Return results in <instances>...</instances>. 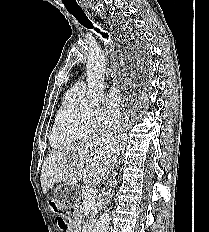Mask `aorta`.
I'll return each mask as SVG.
<instances>
[{"label":"aorta","instance_id":"1","mask_svg":"<svg viewBox=\"0 0 209 232\" xmlns=\"http://www.w3.org/2000/svg\"><path fill=\"white\" fill-rule=\"evenodd\" d=\"M104 72L105 59L100 50L90 52L86 64V75L88 89L86 97L81 102V107L87 111H97L99 109L101 97L104 94ZM110 221V212L106 210L97 221L94 232H106Z\"/></svg>","mask_w":209,"mask_h":232}]
</instances>
